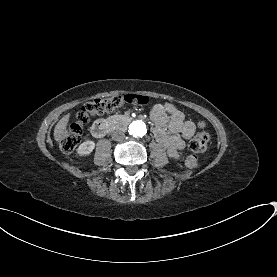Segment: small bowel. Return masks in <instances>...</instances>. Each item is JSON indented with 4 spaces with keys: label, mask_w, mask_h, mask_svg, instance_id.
<instances>
[{
    "label": "small bowel",
    "mask_w": 277,
    "mask_h": 277,
    "mask_svg": "<svg viewBox=\"0 0 277 277\" xmlns=\"http://www.w3.org/2000/svg\"><path fill=\"white\" fill-rule=\"evenodd\" d=\"M151 118L155 123L153 134L156 140L165 147L171 158H178L185 140L195 132L194 122L185 119L184 114L171 103L156 104Z\"/></svg>",
    "instance_id": "1"
}]
</instances>
